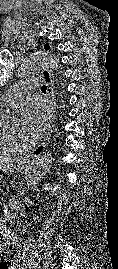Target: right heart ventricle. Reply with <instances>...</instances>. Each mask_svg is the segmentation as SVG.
Segmentation results:
<instances>
[{"mask_svg": "<svg viewBox=\"0 0 118 269\" xmlns=\"http://www.w3.org/2000/svg\"><path fill=\"white\" fill-rule=\"evenodd\" d=\"M19 148L9 142L0 134V153L8 154V153H16Z\"/></svg>", "mask_w": 118, "mask_h": 269, "instance_id": "right-heart-ventricle-1", "label": "right heart ventricle"}]
</instances>
